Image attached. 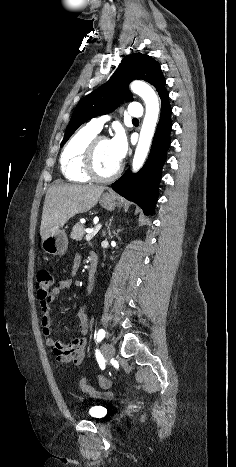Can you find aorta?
<instances>
[{
	"label": "aorta",
	"mask_w": 236,
	"mask_h": 467,
	"mask_svg": "<svg viewBox=\"0 0 236 467\" xmlns=\"http://www.w3.org/2000/svg\"><path fill=\"white\" fill-rule=\"evenodd\" d=\"M130 88L133 93L139 95L143 99L146 106L139 141L132 161V170L133 172H137L143 166L150 150L158 122L160 107L158 96L147 83L135 80L131 83Z\"/></svg>",
	"instance_id": "obj_1"
}]
</instances>
